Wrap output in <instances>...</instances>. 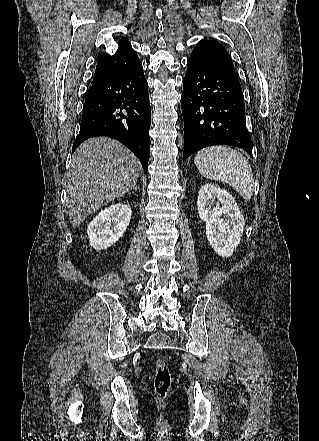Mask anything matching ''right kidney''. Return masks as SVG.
Returning a JSON list of instances; mask_svg holds the SVG:
<instances>
[{
    "mask_svg": "<svg viewBox=\"0 0 319 441\" xmlns=\"http://www.w3.org/2000/svg\"><path fill=\"white\" fill-rule=\"evenodd\" d=\"M132 210L127 204L116 203L101 211L88 225L90 246L103 250L115 244L124 234Z\"/></svg>",
    "mask_w": 319,
    "mask_h": 441,
    "instance_id": "1",
    "label": "right kidney"
}]
</instances>
